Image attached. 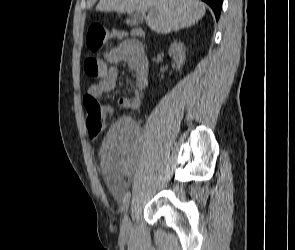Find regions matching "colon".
<instances>
[{"label":"colon","mask_w":295,"mask_h":250,"mask_svg":"<svg viewBox=\"0 0 295 250\" xmlns=\"http://www.w3.org/2000/svg\"><path fill=\"white\" fill-rule=\"evenodd\" d=\"M121 33L108 31L101 25H92L87 33L86 42L89 49L93 52L98 51L108 40L121 37ZM102 62L94 55H89L84 60V71L89 77H99L102 72ZM86 109V125L90 137H98L105 129L106 115L108 112L104 106L89 95L83 100Z\"/></svg>","instance_id":"1"}]
</instances>
